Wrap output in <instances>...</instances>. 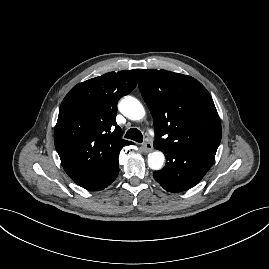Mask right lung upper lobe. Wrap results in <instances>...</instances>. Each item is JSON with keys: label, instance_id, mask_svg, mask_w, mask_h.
Instances as JSON below:
<instances>
[{"label": "right lung upper lobe", "instance_id": "1", "mask_svg": "<svg viewBox=\"0 0 269 269\" xmlns=\"http://www.w3.org/2000/svg\"><path fill=\"white\" fill-rule=\"evenodd\" d=\"M139 71L89 79L73 87L62 101L54 143L64 170L78 185L94 179L123 146L132 144L122 139L116 113L119 98L136 87Z\"/></svg>", "mask_w": 269, "mask_h": 269}]
</instances>
